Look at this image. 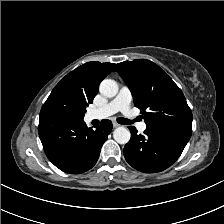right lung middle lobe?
Here are the masks:
<instances>
[{
    "label": "right lung middle lobe",
    "mask_w": 224,
    "mask_h": 224,
    "mask_svg": "<svg viewBox=\"0 0 224 224\" xmlns=\"http://www.w3.org/2000/svg\"><path fill=\"white\" fill-rule=\"evenodd\" d=\"M87 104L75 94L55 87L40 114H55L73 120H83Z\"/></svg>",
    "instance_id": "dd1d6c3e"
}]
</instances>
